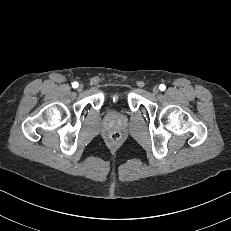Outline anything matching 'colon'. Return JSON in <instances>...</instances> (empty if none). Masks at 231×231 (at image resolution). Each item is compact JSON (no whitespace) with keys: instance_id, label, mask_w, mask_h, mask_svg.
<instances>
[{"instance_id":"1","label":"colon","mask_w":231,"mask_h":231,"mask_svg":"<svg viewBox=\"0 0 231 231\" xmlns=\"http://www.w3.org/2000/svg\"><path fill=\"white\" fill-rule=\"evenodd\" d=\"M110 139H111V141H113V142H117L119 139H120V133L119 132H112L111 134H110Z\"/></svg>"}]
</instances>
